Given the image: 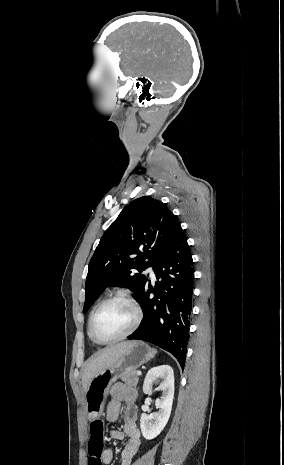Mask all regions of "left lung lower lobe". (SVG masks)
<instances>
[{"instance_id": "1", "label": "left lung lower lobe", "mask_w": 284, "mask_h": 465, "mask_svg": "<svg viewBox=\"0 0 284 465\" xmlns=\"http://www.w3.org/2000/svg\"><path fill=\"white\" fill-rule=\"evenodd\" d=\"M193 261L184 230H177L173 243L154 264L156 279L145 284L138 302L144 318L128 339L150 342L173 354L184 367L190 338L193 300ZM155 296L150 298V294Z\"/></svg>"}]
</instances>
